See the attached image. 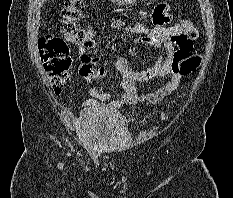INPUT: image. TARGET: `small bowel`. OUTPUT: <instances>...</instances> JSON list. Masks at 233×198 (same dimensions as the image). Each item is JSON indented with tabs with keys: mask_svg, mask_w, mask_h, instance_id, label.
I'll use <instances>...</instances> for the list:
<instances>
[{
	"mask_svg": "<svg viewBox=\"0 0 233 198\" xmlns=\"http://www.w3.org/2000/svg\"><path fill=\"white\" fill-rule=\"evenodd\" d=\"M151 20V26L140 23L127 25L121 20H116L111 24L113 30L123 32L136 41L150 44L158 50L157 57L143 68H133L129 61L122 56L113 61L111 68L104 66L99 56L90 55L86 51V47H81L82 64L79 73L84 82L89 84L93 80L104 78L112 69L122 76L120 93L101 92L95 87H89L88 92L92 98L83 102L82 105L85 109H99V101H109L105 106L107 111H115L126 104L157 103L180 85L183 76L174 69L175 57L183 52L192 53L193 47L179 23L167 27L172 22V16L166 4L161 3L154 8ZM186 44H189V47ZM166 76L169 77V80L162 87L143 95L138 93L137 82L152 77Z\"/></svg>",
	"mask_w": 233,
	"mask_h": 198,
	"instance_id": "small-bowel-1",
	"label": "small bowel"
}]
</instances>
